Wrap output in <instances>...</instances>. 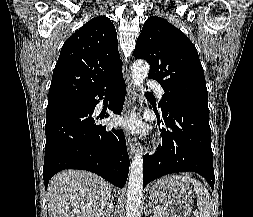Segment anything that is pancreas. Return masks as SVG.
I'll return each mask as SVG.
<instances>
[{
  "label": "pancreas",
  "instance_id": "cf45deb5",
  "mask_svg": "<svg viewBox=\"0 0 253 217\" xmlns=\"http://www.w3.org/2000/svg\"><path fill=\"white\" fill-rule=\"evenodd\" d=\"M163 210L156 213L154 217H175L174 215H172L167 208L165 207H161Z\"/></svg>",
  "mask_w": 253,
  "mask_h": 217
}]
</instances>
